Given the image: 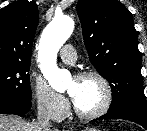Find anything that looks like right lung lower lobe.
<instances>
[{"mask_svg": "<svg viewBox=\"0 0 147 131\" xmlns=\"http://www.w3.org/2000/svg\"><path fill=\"white\" fill-rule=\"evenodd\" d=\"M31 108V102H21L15 99L0 97V113L23 115Z\"/></svg>", "mask_w": 147, "mask_h": 131, "instance_id": "obj_1", "label": "right lung lower lobe"}]
</instances>
